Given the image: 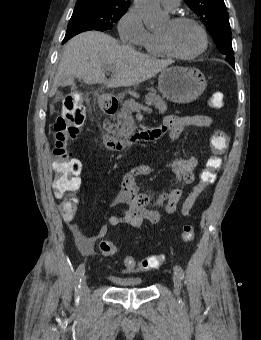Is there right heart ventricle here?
Listing matches in <instances>:
<instances>
[{
	"instance_id": "e07e8e85",
	"label": "right heart ventricle",
	"mask_w": 261,
	"mask_h": 340,
	"mask_svg": "<svg viewBox=\"0 0 261 340\" xmlns=\"http://www.w3.org/2000/svg\"><path fill=\"white\" fill-rule=\"evenodd\" d=\"M146 53L151 56H165V52L162 50L157 35L154 33H149L148 37L140 45Z\"/></svg>"
}]
</instances>
